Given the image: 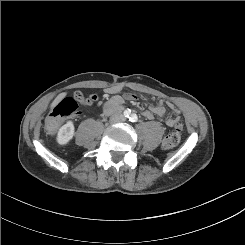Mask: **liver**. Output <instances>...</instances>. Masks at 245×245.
<instances>
[{
	"label": "liver",
	"mask_w": 245,
	"mask_h": 245,
	"mask_svg": "<svg viewBox=\"0 0 245 245\" xmlns=\"http://www.w3.org/2000/svg\"><path fill=\"white\" fill-rule=\"evenodd\" d=\"M67 95L66 92L60 93L55 99L54 101L51 103V109L56 106L65 96Z\"/></svg>",
	"instance_id": "obj_1"
}]
</instances>
